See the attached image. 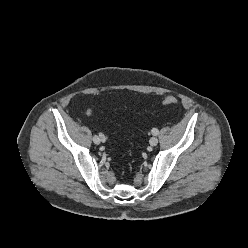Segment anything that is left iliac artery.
<instances>
[{"instance_id": "obj_1", "label": "left iliac artery", "mask_w": 248, "mask_h": 248, "mask_svg": "<svg viewBox=\"0 0 248 248\" xmlns=\"http://www.w3.org/2000/svg\"><path fill=\"white\" fill-rule=\"evenodd\" d=\"M152 133H153V135H158L159 134V131H158V129L153 128L152 129Z\"/></svg>"}]
</instances>
